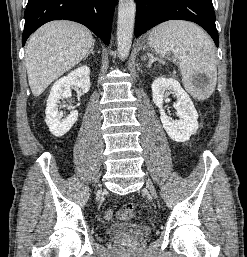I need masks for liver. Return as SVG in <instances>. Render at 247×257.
Wrapping results in <instances>:
<instances>
[{
	"label": "liver",
	"instance_id": "obj_1",
	"mask_svg": "<svg viewBox=\"0 0 247 257\" xmlns=\"http://www.w3.org/2000/svg\"><path fill=\"white\" fill-rule=\"evenodd\" d=\"M93 43L91 31L73 21H51L35 31L25 51L32 94L40 96L54 80L76 66Z\"/></svg>",
	"mask_w": 247,
	"mask_h": 257
}]
</instances>
